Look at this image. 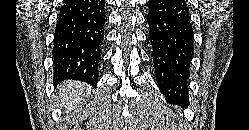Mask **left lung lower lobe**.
<instances>
[{"mask_svg": "<svg viewBox=\"0 0 249 130\" xmlns=\"http://www.w3.org/2000/svg\"><path fill=\"white\" fill-rule=\"evenodd\" d=\"M147 22L158 86L168 99L184 102L194 53L189 6L184 0H149Z\"/></svg>", "mask_w": 249, "mask_h": 130, "instance_id": "0a47b994", "label": "left lung lower lobe"}]
</instances>
